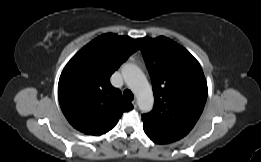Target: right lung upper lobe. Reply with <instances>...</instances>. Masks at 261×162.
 <instances>
[{
	"label": "right lung upper lobe",
	"instance_id": "cb5924a9",
	"mask_svg": "<svg viewBox=\"0 0 261 162\" xmlns=\"http://www.w3.org/2000/svg\"><path fill=\"white\" fill-rule=\"evenodd\" d=\"M139 49L128 36L103 34L84 46L65 66L59 79L58 98L69 123L87 135L111 130L123 112L133 109L110 76Z\"/></svg>",
	"mask_w": 261,
	"mask_h": 162
}]
</instances>
